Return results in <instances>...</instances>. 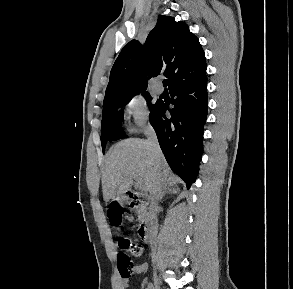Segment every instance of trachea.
Segmentation results:
<instances>
[{"instance_id": "1", "label": "trachea", "mask_w": 293, "mask_h": 289, "mask_svg": "<svg viewBox=\"0 0 293 289\" xmlns=\"http://www.w3.org/2000/svg\"><path fill=\"white\" fill-rule=\"evenodd\" d=\"M163 85H164V87H166L168 85V80L167 79L163 80Z\"/></svg>"}]
</instances>
